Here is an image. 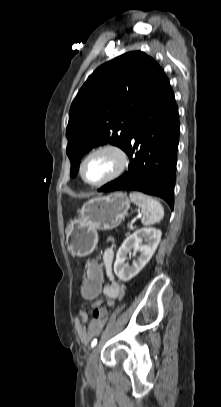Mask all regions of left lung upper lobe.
I'll use <instances>...</instances> for the list:
<instances>
[{"instance_id": "5c2ea615", "label": "left lung upper lobe", "mask_w": 221, "mask_h": 407, "mask_svg": "<svg viewBox=\"0 0 221 407\" xmlns=\"http://www.w3.org/2000/svg\"><path fill=\"white\" fill-rule=\"evenodd\" d=\"M165 73L141 51L123 54L98 67L72 102L66 129L70 176L91 148L111 143L124 150L140 111Z\"/></svg>"}]
</instances>
